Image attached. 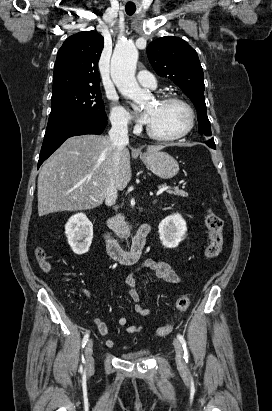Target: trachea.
<instances>
[{
	"label": "trachea",
	"mask_w": 272,
	"mask_h": 411,
	"mask_svg": "<svg viewBox=\"0 0 272 411\" xmlns=\"http://www.w3.org/2000/svg\"><path fill=\"white\" fill-rule=\"evenodd\" d=\"M125 11L128 15H133L136 11V7L135 6H125Z\"/></svg>",
	"instance_id": "3493384b"
}]
</instances>
